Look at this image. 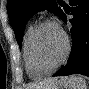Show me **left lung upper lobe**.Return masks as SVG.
I'll use <instances>...</instances> for the list:
<instances>
[{
	"label": "left lung upper lobe",
	"instance_id": "left-lung-upper-lobe-1",
	"mask_svg": "<svg viewBox=\"0 0 89 89\" xmlns=\"http://www.w3.org/2000/svg\"><path fill=\"white\" fill-rule=\"evenodd\" d=\"M59 0H8L7 11L11 26L15 32L17 42L21 46L25 25L35 13L43 10L53 12L60 18L63 10L59 7Z\"/></svg>",
	"mask_w": 89,
	"mask_h": 89
}]
</instances>
